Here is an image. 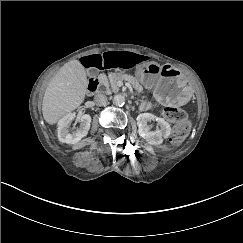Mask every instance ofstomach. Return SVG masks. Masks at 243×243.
<instances>
[{
	"label": "stomach",
	"mask_w": 243,
	"mask_h": 243,
	"mask_svg": "<svg viewBox=\"0 0 243 243\" xmlns=\"http://www.w3.org/2000/svg\"><path fill=\"white\" fill-rule=\"evenodd\" d=\"M139 82L152 89L158 102L166 106H182L192 97L188 80L175 67L146 62L136 71Z\"/></svg>",
	"instance_id": "obj_1"
}]
</instances>
